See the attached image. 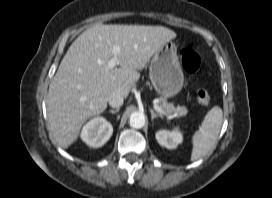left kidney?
I'll use <instances>...</instances> for the list:
<instances>
[{
	"label": "left kidney",
	"mask_w": 272,
	"mask_h": 198,
	"mask_svg": "<svg viewBox=\"0 0 272 198\" xmlns=\"http://www.w3.org/2000/svg\"><path fill=\"white\" fill-rule=\"evenodd\" d=\"M156 140L160 145L168 149H174L182 142L183 136L178 128L173 131L160 130L156 133Z\"/></svg>",
	"instance_id": "1"
}]
</instances>
